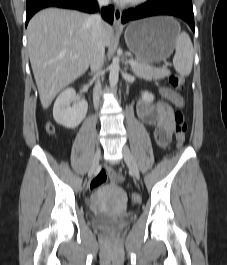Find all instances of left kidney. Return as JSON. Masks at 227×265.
<instances>
[{
	"label": "left kidney",
	"mask_w": 227,
	"mask_h": 265,
	"mask_svg": "<svg viewBox=\"0 0 227 265\" xmlns=\"http://www.w3.org/2000/svg\"><path fill=\"white\" fill-rule=\"evenodd\" d=\"M142 98L145 102H152L154 100V96L153 94L149 93V92H144L142 94Z\"/></svg>",
	"instance_id": "left-kidney-1"
}]
</instances>
